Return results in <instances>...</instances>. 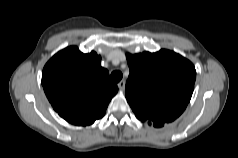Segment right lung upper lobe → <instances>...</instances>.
<instances>
[{
	"instance_id": "right-lung-upper-lobe-1",
	"label": "right lung upper lobe",
	"mask_w": 238,
	"mask_h": 158,
	"mask_svg": "<svg viewBox=\"0 0 238 158\" xmlns=\"http://www.w3.org/2000/svg\"><path fill=\"white\" fill-rule=\"evenodd\" d=\"M101 56L84 54L76 46L55 54L44 66L42 85L52 107L67 122L91 125L104 116L117 93L109 72L100 66Z\"/></svg>"
}]
</instances>
